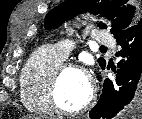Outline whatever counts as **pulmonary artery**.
Returning <instances> with one entry per match:
<instances>
[{
    "mask_svg": "<svg viewBox=\"0 0 142 119\" xmlns=\"http://www.w3.org/2000/svg\"><path fill=\"white\" fill-rule=\"evenodd\" d=\"M94 40L97 44L100 45H115L114 38L107 31L104 30H100L94 36ZM72 48L73 46L70 41H61L54 45L55 51L63 60H65L69 56Z\"/></svg>",
    "mask_w": 142,
    "mask_h": 119,
    "instance_id": "e3ab8cb5",
    "label": "pulmonary artery"
}]
</instances>
